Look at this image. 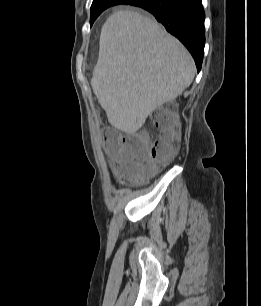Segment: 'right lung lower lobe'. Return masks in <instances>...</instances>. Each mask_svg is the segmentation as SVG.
<instances>
[{"label": "right lung lower lobe", "mask_w": 261, "mask_h": 306, "mask_svg": "<svg viewBox=\"0 0 261 306\" xmlns=\"http://www.w3.org/2000/svg\"><path fill=\"white\" fill-rule=\"evenodd\" d=\"M124 4L152 13L169 33L185 45L200 71L205 44L202 0H128Z\"/></svg>", "instance_id": "right-lung-lower-lobe-1"}]
</instances>
